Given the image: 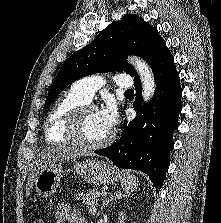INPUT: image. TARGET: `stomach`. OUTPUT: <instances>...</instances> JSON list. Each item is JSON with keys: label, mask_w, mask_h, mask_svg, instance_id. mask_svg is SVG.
<instances>
[{"label": "stomach", "mask_w": 221, "mask_h": 223, "mask_svg": "<svg viewBox=\"0 0 221 223\" xmlns=\"http://www.w3.org/2000/svg\"><path fill=\"white\" fill-rule=\"evenodd\" d=\"M72 169L94 185L110 184L117 179L116 170L100 160L74 161ZM63 173L62 165L57 163L42 169L35 180L37 194L42 198H48L54 194Z\"/></svg>", "instance_id": "1"}]
</instances>
